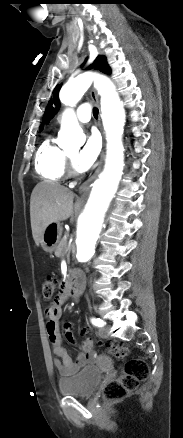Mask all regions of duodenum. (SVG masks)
<instances>
[{
  "instance_id": "410a0bca",
  "label": "duodenum",
  "mask_w": 183,
  "mask_h": 438,
  "mask_svg": "<svg viewBox=\"0 0 183 438\" xmlns=\"http://www.w3.org/2000/svg\"><path fill=\"white\" fill-rule=\"evenodd\" d=\"M68 287L70 290V293L74 298H79L83 289V284L81 279L76 275H71L69 281H68Z\"/></svg>"
}]
</instances>
